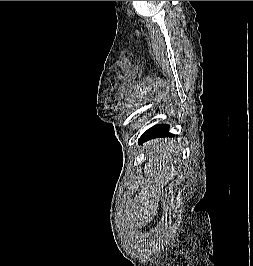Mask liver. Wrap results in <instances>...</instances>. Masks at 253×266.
Wrapping results in <instances>:
<instances>
[{
  "label": "liver",
  "instance_id": "6515ba94",
  "mask_svg": "<svg viewBox=\"0 0 253 266\" xmlns=\"http://www.w3.org/2000/svg\"><path fill=\"white\" fill-rule=\"evenodd\" d=\"M149 158L155 164L154 175L158 189L148 185L145 194L139 193L138 197L133 201V207L130 213L125 215V224L128 227H141L152 219L151 215H155L158 211V201L160 189L174 175L172 168L175 161L177 151H174L173 143L170 139H156L146 144ZM139 220V222H138Z\"/></svg>",
  "mask_w": 253,
  "mask_h": 266
}]
</instances>
